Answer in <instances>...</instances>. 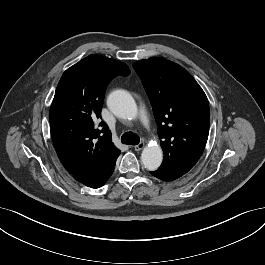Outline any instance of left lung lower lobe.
I'll use <instances>...</instances> for the list:
<instances>
[{
  "mask_svg": "<svg viewBox=\"0 0 265 265\" xmlns=\"http://www.w3.org/2000/svg\"><path fill=\"white\" fill-rule=\"evenodd\" d=\"M150 173H151L154 177H156V178H158V179H161V180H163V181H171V180H169L167 177H165L164 175H162L161 173H159L157 170H156V171H150Z\"/></svg>",
  "mask_w": 265,
  "mask_h": 265,
  "instance_id": "1",
  "label": "left lung lower lobe"
}]
</instances>
